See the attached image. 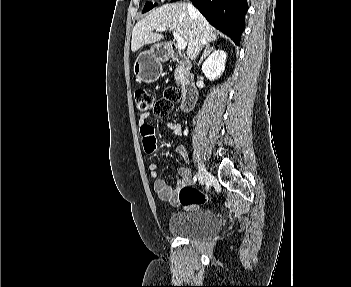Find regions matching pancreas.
<instances>
[{
    "instance_id": "obj_1",
    "label": "pancreas",
    "mask_w": 351,
    "mask_h": 287,
    "mask_svg": "<svg viewBox=\"0 0 351 287\" xmlns=\"http://www.w3.org/2000/svg\"><path fill=\"white\" fill-rule=\"evenodd\" d=\"M184 74H185L184 68L182 66H178L174 74L177 85L184 83Z\"/></svg>"
}]
</instances>
